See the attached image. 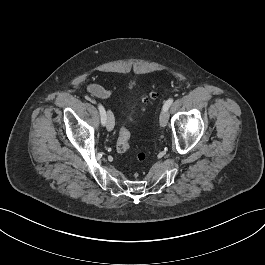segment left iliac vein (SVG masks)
Wrapping results in <instances>:
<instances>
[{"label":"left iliac vein","mask_w":265,"mask_h":265,"mask_svg":"<svg viewBox=\"0 0 265 265\" xmlns=\"http://www.w3.org/2000/svg\"><path fill=\"white\" fill-rule=\"evenodd\" d=\"M159 121H160L161 127H165L167 125V123H168V113H167L166 110L163 109L161 111Z\"/></svg>","instance_id":"obj_1"}]
</instances>
